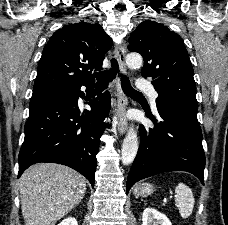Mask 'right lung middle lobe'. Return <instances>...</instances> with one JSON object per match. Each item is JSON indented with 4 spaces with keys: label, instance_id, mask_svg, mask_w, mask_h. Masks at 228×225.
<instances>
[{
    "label": "right lung middle lobe",
    "instance_id": "1",
    "mask_svg": "<svg viewBox=\"0 0 228 225\" xmlns=\"http://www.w3.org/2000/svg\"><path fill=\"white\" fill-rule=\"evenodd\" d=\"M63 90H68V88H64V87H41V88H34L33 89L32 98L33 97L42 96V95H46V94L53 93V92H57V91H63Z\"/></svg>",
    "mask_w": 228,
    "mask_h": 225
}]
</instances>
